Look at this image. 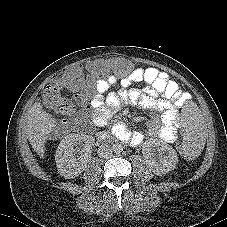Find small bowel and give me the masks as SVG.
Returning a JSON list of instances; mask_svg holds the SVG:
<instances>
[{"instance_id":"small-bowel-1","label":"small bowel","mask_w":227,"mask_h":227,"mask_svg":"<svg viewBox=\"0 0 227 227\" xmlns=\"http://www.w3.org/2000/svg\"><path fill=\"white\" fill-rule=\"evenodd\" d=\"M135 83H144L142 89H129ZM121 86L120 94L109 93L114 86ZM80 105L92 109V121L96 126H105L120 101L133 104L156 113L148 128V135L173 143L179 132L178 107L186 101L184 92L170 76L154 67H139L119 77L110 75L95 82L94 92L88 86L74 95ZM112 134L119 140L132 146L140 145L144 135L132 131L123 122L112 126Z\"/></svg>"}]
</instances>
